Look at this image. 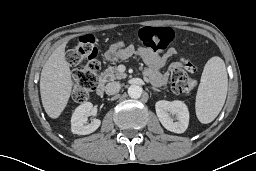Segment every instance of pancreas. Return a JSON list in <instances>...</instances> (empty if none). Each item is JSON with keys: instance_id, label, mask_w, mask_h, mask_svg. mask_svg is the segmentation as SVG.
<instances>
[{"instance_id": "pancreas-1", "label": "pancreas", "mask_w": 256, "mask_h": 171, "mask_svg": "<svg viewBox=\"0 0 256 171\" xmlns=\"http://www.w3.org/2000/svg\"><path fill=\"white\" fill-rule=\"evenodd\" d=\"M124 78H126L125 73H120L117 71L116 67L109 66L104 72L101 73L99 80H100V82L105 83L108 81L124 79Z\"/></svg>"}]
</instances>
